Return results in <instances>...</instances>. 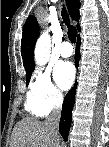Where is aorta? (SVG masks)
<instances>
[{"instance_id":"obj_1","label":"aorta","mask_w":109,"mask_h":147,"mask_svg":"<svg viewBox=\"0 0 109 147\" xmlns=\"http://www.w3.org/2000/svg\"><path fill=\"white\" fill-rule=\"evenodd\" d=\"M51 38L47 32L40 35L37 40L34 58L38 65H45L50 57Z\"/></svg>"}]
</instances>
